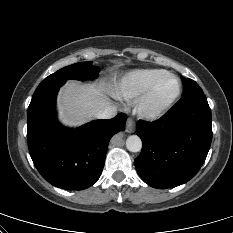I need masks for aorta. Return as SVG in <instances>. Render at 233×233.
Instances as JSON below:
<instances>
[{
  "label": "aorta",
  "mask_w": 233,
  "mask_h": 233,
  "mask_svg": "<svg viewBox=\"0 0 233 233\" xmlns=\"http://www.w3.org/2000/svg\"><path fill=\"white\" fill-rule=\"evenodd\" d=\"M126 148L130 152H139L142 148V141L139 136L131 135L126 140Z\"/></svg>",
  "instance_id": "762f6f07"
}]
</instances>
